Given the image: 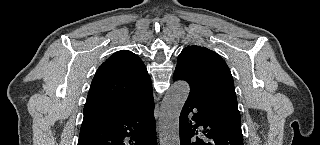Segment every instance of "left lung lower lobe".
Returning a JSON list of instances; mask_svg holds the SVG:
<instances>
[{"mask_svg":"<svg viewBox=\"0 0 320 145\" xmlns=\"http://www.w3.org/2000/svg\"><path fill=\"white\" fill-rule=\"evenodd\" d=\"M173 80H185L190 85L179 118L180 145H243L241 125L221 117L209 107L206 84L181 68L175 69ZM200 126L201 131L197 129ZM199 133L207 139L194 137Z\"/></svg>","mask_w":320,"mask_h":145,"instance_id":"obj_1","label":"left lung lower lobe"}]
</instances>
